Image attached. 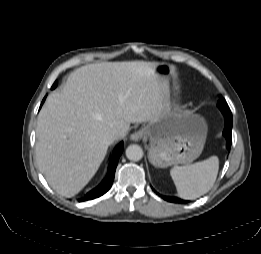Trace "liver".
<instances>
[{
    "mask_svg": "<svg viewBox=\"0 0 261 254\" xmlns=\"http://www.w3.org/2000/svg\"><path fill=\"white\" fill-rule=\"evenodd\" d=\"M158 63L102 62L73 71L60 91L49 95L36 128V161L60 195L79 193L97 172L118 130L155 119L161 110Z\"/></svg>",
    "mask_w": 261,
    "mask_h": 254,
    "instance_id": "obj_1",
    "label": "liver"
}]
</instances>
